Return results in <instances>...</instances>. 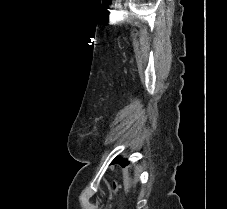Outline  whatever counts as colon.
<instances>
[{"label": "colon", "instance_id": "colon-1", "mask_svg": "<svg viewBox=\"0 0 227 209\" xmlns=\"http://www.w3.org/2000/svg\"><path fill=\"white\" fill-rule=\"evenodd\" d=\"M119 188H120V186H119L118 183L114 182V183L112 184V201H111V203L107 206V209H114V201H115V199H116V197H117V195H118V193H119Z\"/></svg>", "mask_w": 227, "mask_h": 209}]
</instances>
